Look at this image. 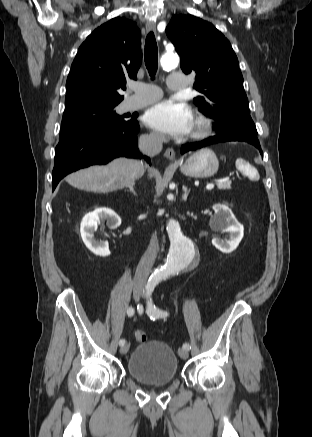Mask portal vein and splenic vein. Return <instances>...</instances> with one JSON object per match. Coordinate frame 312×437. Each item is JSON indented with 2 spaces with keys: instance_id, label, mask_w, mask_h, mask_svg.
<instances>
[{
  "instance_id": "obj_1",
  "label": "portal vein and splenic vein",
  "mask_w": 312,
  "mask_h": 437,
  "mask_svg": "<svg viewBox=\"0 0 312 437\" xmlns=\"http://www.w3.org/2000/svg\"><path fill=\"white\" fill-rule=\"evenodd\" d=\"M206 188H207L208 190L213 189V188H214V184H213V183L208 184V185L206 186Z\"/></svg>"
}]
</instances>
